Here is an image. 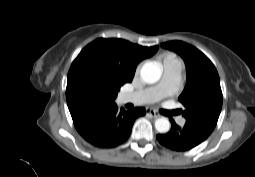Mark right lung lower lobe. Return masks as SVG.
<instances>
[{
	"label": "right lung lower lobe",
	"mask_w": 255,
	"mask_h": 177,
	"mask_svg": "<svg viewBox=\"0 0 255 177\" xmlns=\"http://www.w3.org/2000/svg\"><path fill=\"white\" fill-rule=\"evenodd\" d=\"M70 113L74 126L87 142L96 147L112 148L128 139L134 121L145 115V109L119 110L113 102L83 105Z\"/></svg>",
	"instance_id": "1"
}]
</instances>
